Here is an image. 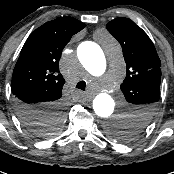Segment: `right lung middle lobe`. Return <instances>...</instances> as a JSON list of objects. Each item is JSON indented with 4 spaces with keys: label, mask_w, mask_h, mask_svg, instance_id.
<instances>
[{
    "label": "right lung middle lobe",
    "mask_w": 174,
    "mask_h": 174,
    "mask_svg": "<svg viewBox=\"0 0 174 174\" xmlns=\"http://www.w3.org/2000/svg\"><path fill=\"white\" fill-rule=\"evenodd\" d=\"M59 117V115H55L54 118L48 121L40 120L29 122L27 124L29 129L36 135L51 136L59 131L61 126V119Z\"/></svg>",
    "instance_id": "dd1d6c3e"
}]
</instances>
